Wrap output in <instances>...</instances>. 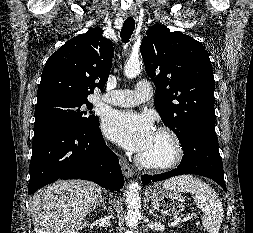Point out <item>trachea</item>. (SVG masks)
<instances>
[{
	"mask_svg": "<svg viewBox=\"0 0 253 233\" xmlns=\"http://www.w3.org/2000/svg\"><path fill=\"white\" fill-rule=\"evenodd\" d=\"M135 29V21L133 17H128L123 24L121 30L122 42L127 43Z\"/></svg>",
	"mask_w": 253,
	"mask_h": 233,
	"instance_id": "3493384b",
	"label": "trachea"
}]
</instances>
